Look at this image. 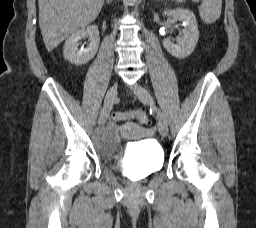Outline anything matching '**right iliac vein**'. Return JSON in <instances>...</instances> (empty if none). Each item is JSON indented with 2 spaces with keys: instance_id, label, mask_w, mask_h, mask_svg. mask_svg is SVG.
<instances>
[{
  "instance_id": "obj_1",
  "label": "right iliac vein",
  "mask_w": 256,
  "mask_h": 228,
  "mask_svg": "<svg viewBox=\"0 0 256 228\" xmlns=\"http://www.w3.org/2000/svg\"><path fill=\"white\" fill-rule=\"evenodd\" d=\"M117 83H114L108 90L105 100H104V105L101 110L98 123L100 125H104L108 119L109 113L111 111V108L117 98Z\"/></svg>"
}]
</instances>
